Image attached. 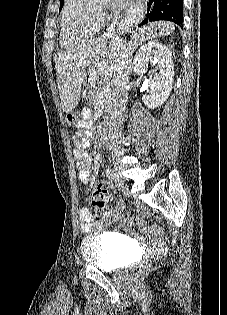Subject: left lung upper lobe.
<instances>
[{"label":"left lung upper lobe","mask_w":227,"mask_h":315,"mask_svg":"<svg viewBox=\"0 0 227 315\" xmlns=\"http://www.w3.org/2000/svg\"><path fill=\"white\" fill-rule=\"evenodd\" d=\"M64 0H60V9L62 8Z\"/></svg>","instance_id":"5c2ea615"}]
</instances>
